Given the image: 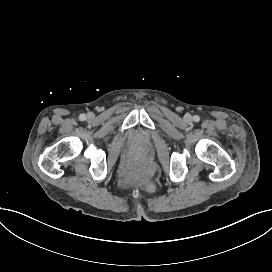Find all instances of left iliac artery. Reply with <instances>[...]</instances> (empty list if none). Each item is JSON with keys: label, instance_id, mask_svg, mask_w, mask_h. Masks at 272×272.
<instances>
[{"label": "left iliac artery", "instance_id": "obj_1", "mask_svg": "<svg viewBox=\"0 0 272 272\" xmlns=\"http://www.w3.org/2000/svg\"><path fill=\"white\" fill-rule=\"evenodd\" d=\"M193 119H194L195 122H198V121L200 120V117L197 116V115H195V116L193 117Z\"/></svg>", "mask_w": 272, "mask_h": 272}]
</instances>
